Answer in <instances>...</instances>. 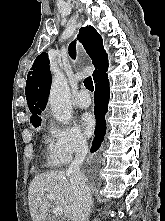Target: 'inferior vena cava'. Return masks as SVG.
<instances>
[{"mask_svg":"<svg viewBox=\"0 0 165 221\" xmlns=\"http://www.w3.org/2000/svg\"><path fill=\"white\" fill-rule=\"evenodd\" d=\"M87 152V142L85 140H80L75 149V159L66 171V174L70 177L74 190L71 206V221H88L90 214L92 205L91 192L80 171V166Z\"/></svg>","mask_w":165,"mask_h":221,"instance_id":"inferior-vena-cava-1","label":"inferior vena cava"}]
</instances>
